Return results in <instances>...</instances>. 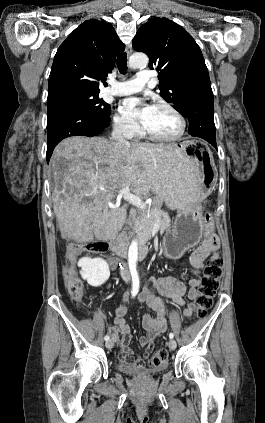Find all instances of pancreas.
Masks as SVG:
<instances>
[{
  "instance_id": "1",
  "label": "pancreas",
  "mask_w": 265,
  "mask_h": 423,
  "mask_svg": "<svg viewBox=\"0 0 265 423\" xmlns=\"http://www.w3.org/2000/svg\"><path fill=\"white\" fill-rule=\"evenodd\" d=\"M152 206L153 209L143 213L133 227L142 242L150 239L153 226L157 221L160 224V232L169 229L171 225V219L168 213L161 209V200L157 198Z\"/></svg>"
}]
</instances>
